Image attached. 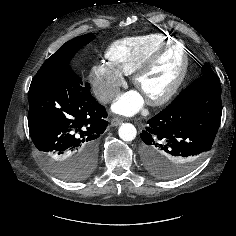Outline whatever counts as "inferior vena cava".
Segmentation results:
<instances>
[{
  "mask_svg": "<svg viewBox=\"0 0 236 236\" xmlns=\"http://www.w3.org/2000/svg\"><path fill=\"white\" fill-rule=\"evenodd\" d=\"M117 95L116 91H108L100 95L99 100L103 103H108L112 101Z\"/></svg>",
  "mask_w": 236,
  "mask_h": 236,
  "instance_id": "1",
  "label": "inferior vena cava"
}]
</instances>
